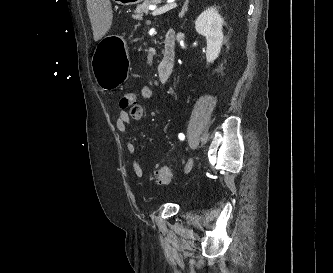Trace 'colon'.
Segmentation results:
<instances>
[{
  "mask_svg": "<svg viewBox=\"0 0 333 273\" xmlns=\"http://www.w3.org/2000/svg\"><path fill=\"white\" fill-rule=\"evenodd\" d=\"M137 103V95L133 91L125 92L120 98V107L122 109L134 107ZM171 177L170 168L164 166L155 171L153 179L157 184L165 185L171 181Z\"/></svg>",
  "mask_w": 333,
  "mask_h": 273,
  "instance_id": "1",
  "label": "colon"
}]
</instances>
